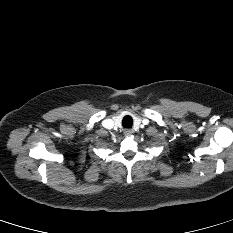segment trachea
<instances>
[{
    "label": "trachea",
    "instance_id": "trachea-1",
    "mask_svg": "<svg viewBox=\"0 0 233 233\" xmlns=\"http://www.w3.org/2000/svg\"><path fill=\"white\" fill-rule=\"evenodd\" d=\"M122 125L124 128H131L133 125V119L131 116H125L122 120Z\"/></svg>",
    "mask_w": 233,
    "mask_h": 233
}]
</instances>
